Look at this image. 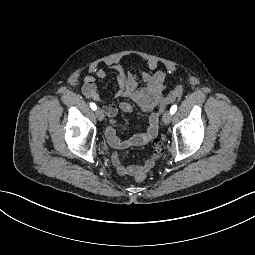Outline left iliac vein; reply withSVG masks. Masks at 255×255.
<instances>
[{"mask_svg":"<svg viewBox=\"0 0 255 255\" xmlns=\"http://www.w3.org/2000/svg\"><path fill=\"white\" fill-rule=\"evenodd\" d=\"M172 120V114L170 111H166L163 115L162 121L164 124L168 125Z\"/></svg>","mask_w":255,"mask_h":255,"instance_id":"left-iliac-vein-1","label":"left iliac vein"}]
</instances>
